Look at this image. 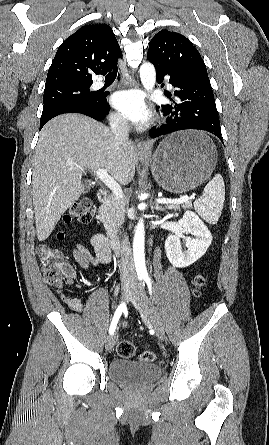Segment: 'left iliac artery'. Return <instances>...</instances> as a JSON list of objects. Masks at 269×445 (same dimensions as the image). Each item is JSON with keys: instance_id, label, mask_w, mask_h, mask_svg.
I'll return each mask as SVG.
<instances>
[{"instance_id": "left-iliac-artery-1", "label": "left iliac artery", "mask_w": 269, "mask_h": 445, "mask_svg": "<svg viewBox=\"0 0 269 445\" xmlns=\"http://www.w3.org/2000/svg\"><path fill=\"white\" fill-rule=\"evenodd\" d=\"M144 280L148 286V290H149V294L152 296V284H151V280L148 276L144 277Z\"/></svg>"}]
</instances>
